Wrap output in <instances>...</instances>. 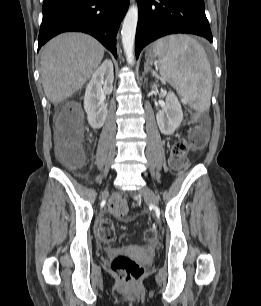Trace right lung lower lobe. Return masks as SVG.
Masks as SVG:
<instances>
[{
    "label": "right lung lower lobe",
    "mask_w": 261,
    "mask_h": 306,
    "mask_svg": "<svg viewBox=\"0 0 261 306\" xmlns=\"http://www.w3.org/2000/svg\"><path fill=\"white\" fill-rule=\"evenodd\" d=\"M130 0H44L38 50L52 37L81 31L98 39L112 54L116 35Z\"/></svg>",
    "instance_id": "right-lung-lower-lobe-1"
}]
</instances>
